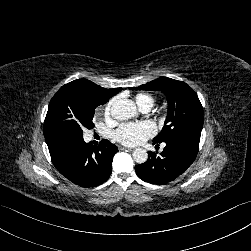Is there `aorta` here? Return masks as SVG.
<instances>
[{
	"label": "aorta",
	"mask_w": 251,
	"mask_h": 251,
	"mask_svg": "<svg viewBox=\"0 0 251 251\" xmlns=\"http://www.w3.org/2000/svg\"><path fill=\"white\" fill-rule=\"evenodd\" d=\"M136 112V107L131 100L119 99L116 100L111 108L110 115L115 120L126 121L133 117ZM133 160L138 164H143L148 159V153L142 148L135 149L132 153Z\"/></svg>",
	"instance_id": "1"
}]
</instances>
